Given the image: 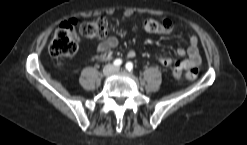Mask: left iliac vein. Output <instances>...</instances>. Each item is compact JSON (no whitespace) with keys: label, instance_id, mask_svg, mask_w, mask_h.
<instances>
[{"label":"left iliac vein","instance_id":"4c4485c4","mask_svg":"<svg viewBox=\"0 0 247 145\" xmlns=\"http://www.w3.org/2000/svg\"><path fill=\"white\" fill-rule=\"evenodd\" d=\"M120 71V68H116V72H119Z\"/></svg>","mask_w":247,"mask_h":145}]
</instances>
